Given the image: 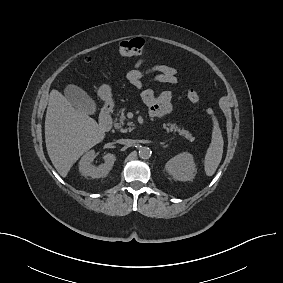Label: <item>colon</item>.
I'll return each mask as SVG.
<instances>
[{
  "instance_id": "1",
  "label": "colon",
  "mask_w": 283,
  "mask_h": 283,
  "mask_svg": "<svg viewBox=\"0 0 283 283\" xmlns=\"http://www.w3.org/2000/svg\"><path fill=\"white\" fill-rule=\"evenodd\" d=\"M147 47V43L142 38L127 39L119 43L117 52L124 57L142 54ZM187 97L192 103H198L200 96L194 89H189Z\"/></svg>"
}]
</instances>
